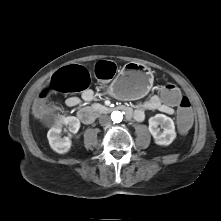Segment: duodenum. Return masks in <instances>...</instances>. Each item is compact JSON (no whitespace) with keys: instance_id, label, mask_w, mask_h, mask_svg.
<instances>
[{"instance_id":"obj_1","label":"duodenum","mask_w":221,"mask_h":221,"mask_svg":"<svg viewBox=\"0 0 221 221\" xmlns=\"http://www.w3.org/2000/svg\"><path fill=\"white\" fill-rule=\"evenodd\" d=\"M116 109L124 112L128 118H131L133 115L132 109L128 106L120 105ZM96 116V111L91 107H84L78 111V118L84 124H91L96 119Z\"/></svg>"}]
</instances>
